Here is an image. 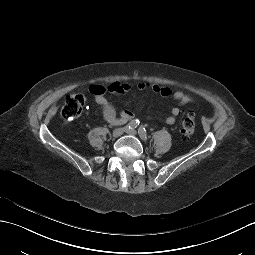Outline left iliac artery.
<instances>
[{"instance_id": "left-iliac-artery-1", "label": "left iliac artery", "mask_w": 255, "mask_h": 255, "mask_svg": "<svg viewBox=\"0 0 255 255\" xmlns=\"http://www.w3.org/2000/svg\"><path fill=\"white\" fill-rule=\"evenodd\" d=\"M138 133L140 135V137L143 139V140H147L148 139V136H147V132H146V129L141 126L139 129H138Z\"/></svg>"}]
</instances>
